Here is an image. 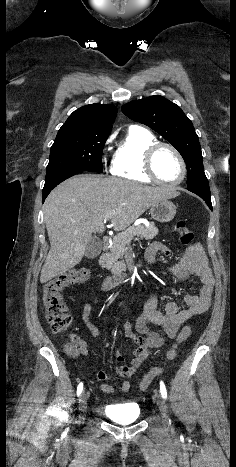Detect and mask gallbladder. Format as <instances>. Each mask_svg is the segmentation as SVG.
<instances>
[{"mask_svg":"<svg viewBox=\"0 0 236 467\" xmlns=\"http://www.w3.org/2000/svg\"><path fill=\"white\" fill-rule=\"evenodd\" d=\"M102 250V242L97 237H92L85 249V256L87 258H95L97 257Z\"/></svg>","mask_w":236,"mask_h":467,"instance_id":"gallbladder-1","label":"gallbladder"}]
</instances>
